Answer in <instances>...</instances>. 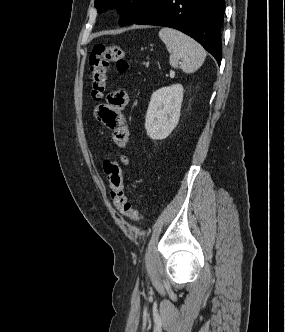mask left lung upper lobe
<instances>
[{"mask_svg":"<svg viewBox=\"0 0 285 332\" xmlns=\"http://www.w3.org/2000/svg\"><path fill=\"white\" fill-rule=\"evenodd\" d=\"M157 0H95L98 12L106 7L118 8L121 13L120 25H130L144 15Z\"/></svg>","mask_w":285,"mask_h":332,"instance_id":"5c2ea615","label":"left lung upper lobe"}]
</instances>
